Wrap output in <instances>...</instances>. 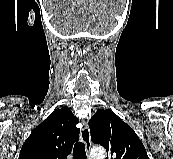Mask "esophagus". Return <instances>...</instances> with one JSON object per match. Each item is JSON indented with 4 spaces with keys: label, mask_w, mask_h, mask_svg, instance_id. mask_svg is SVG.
<instances>
[{
    "label": "esophagus",
    "mask_w": 173,
    "mask_h": 159,
    "mask_svg": "<svg viewBox=\"0 0 173 159\" xmlns=\"http://www.w3.org/2000/svg\"><path fill=\"white\" fill-rule=\"evenodd\" d=\"M80 139L84 143L86 150L89 152L91 149L90 129L85 125L80 132Z\"/></svg>",
    "instance_id": "esophagus-1"
}]
</instances>
